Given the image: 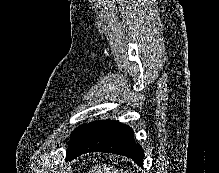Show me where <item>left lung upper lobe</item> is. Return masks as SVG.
Listing matches in <instances>:
<instances>
[{
	"label": "left lung upper lobe",
	"mask_w": 219,
	"mask_h": 173,
	"mask_svg": "<svg viewBox=\"0 0 219 173\" xmlns=\"http://www.w3.org/2000/svg\"><path fill=\"white\" fill-rule=\"evenodd\" d=\"M86 126H87V124H83V125L79 126L78 128H76V129L72 132L68 150H69L71 147H73V145H74L75 142L78 140V138L80 137V135L82 134V132L84 131V129H85Z\"/></svg>",
	"instance_id": "left-lung-upper-lobe-1"
}]
</instances>
